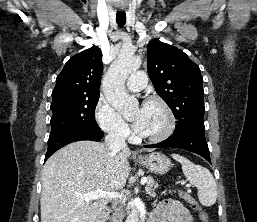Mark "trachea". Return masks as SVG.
Masks as SVG:
<instances>
[{"instance_id": "trachea-1", "label": "trachea", "mask_w": 257, "mask_h": 222, "mask_svg": "<svg viewBox=\"0 0 257 222\" xmlns=\"http://www.w3.org/2000/svg\"><path fill=\"white\" fill-rule=\"evenodd\" d=\"M116 22L118 24L119 27H123L126 23V14L125 12H117L116 15Z\"/></svg>"}]
</instances>
